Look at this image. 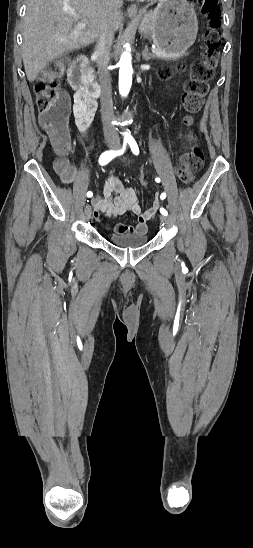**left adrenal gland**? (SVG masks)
<instances>
[{"label":"left adrenal gland","mask_w":253,"mask_h":548,"mask_svg":"<svg viewBox=\"0 0 253 548\" xmlns=\"http://www.w3.org/2000/svg\"><path fill=\"white\" fill-rule=\"evenodd\" d=\"M153 58H154V55H152L149 52L148 46L146 45L145 49L142 52V59L145 60V61H149L150 59H153Z\"/></svg>","instance_id":"left-adrenal-gland-1"}]
</instances>
